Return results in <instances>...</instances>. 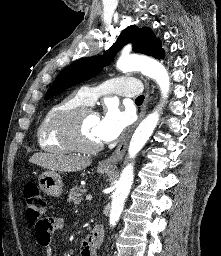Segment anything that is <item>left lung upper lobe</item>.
I'll return each mask as SVG.
<instances>
[{
	"mask_svg": "<svg viewBox=\"0 0 221 256\" xmlns=\"http://www.w3.org/2000/svg\"><path fill=\"white\" fill-rule=\"evenodd\" d=\"M128 43L133 44V51L136 53L146 54L154 58L164 57L160 41L150 28H139L136 25L129 26L122 31L106 58L103 56L84 58L63 69L48 89L45 99H50L52 96L65 91L68 87L97 75L105 64L108 65L111 62L117 51Z\"/></svg>",
	"mask_w": 221,
	"mask_h": 256,
	"instance_id": "1",
	"label": "left lung upper lobe"
}]
</instances>
